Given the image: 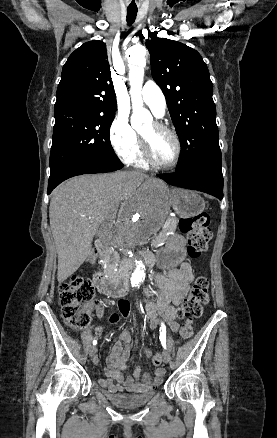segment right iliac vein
Here are the masks:
<instances>
[{"label": "right iliac vein", "mask_w": 277, "mask_h": 438, "mask_svg": "<svg viewBox=\"0 0 277 438\" xmlns=\"http://www.w3.org/2000/svg\"><path fill=\"white\" fill-rule=\"evenodd\" d=\"M96 350H97L96 346H95V345H92V346L89 348V355H90L91 357L94 356V354L96 353Z\"/></svg>", "instance_id": "obj_1"}]
</instances>
